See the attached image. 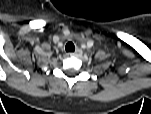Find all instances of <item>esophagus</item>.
Segmentation results:
<instances>
[{
  "label": "esophagus",
  "instance_id": "obj_1",
  "mask_svg": "<svg viewBox=\"0 0 151 114\" xmlns=\"http://www.w3.org/2000/svg\"><path fill=\"white\" fill-rule=\"evenodd\" d=\"M71 56L77 57L82 55V50L81 49H77L75 52L70 53Z\"/></svg>",
  "mask_w": 151,
  "mask_h": 114
}]
</instances>
